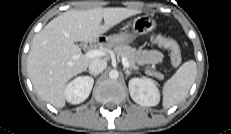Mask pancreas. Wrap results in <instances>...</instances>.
I'll return each mask as SVG.
<instances>
[{
	"mask_svg": "<svg viewBox=\"0 0 231 134\" xmlns=\"http://www.w3.org/2000/svg\"><path fill=\"white\" fill-rule=\"evenodd\" d=\"M109 47H113V50L116 54H118L121 57H126L128 62H129V66L136 70L138 69V67L136 66V59H135V52L136 50L128 45H116V46H109ZM146 74L150 75V76H154L157 79H163V74L160 72H155V71H150V70H146Z\"/></svg>",
	"mask_w": 231,
	"mask_h": 134,
	"instance_id": "pancreas-1",
	"label": "pancreas"
}]
</instances>
